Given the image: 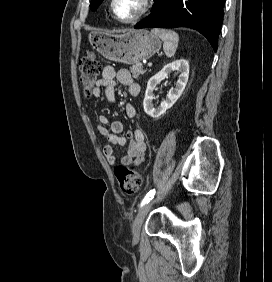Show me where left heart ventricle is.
<instances>
[{"mask_svg":"<svg viewBox=\"0 0 272 282\" xmlns=\"http://www.w3.org/2000/svg\"><path fill=\"white\" fill-rule=\"evenodd\" d=\"M143 8V0H117L115 10L122 19L135 16Z\"/></svg>","mask_w":272,"mask_h":282,"instance_id":"b2bd125f","label":"left heart ventricle"}]
</instances>
